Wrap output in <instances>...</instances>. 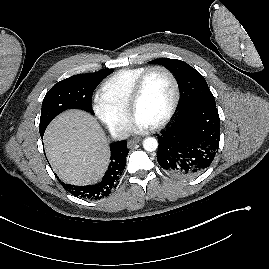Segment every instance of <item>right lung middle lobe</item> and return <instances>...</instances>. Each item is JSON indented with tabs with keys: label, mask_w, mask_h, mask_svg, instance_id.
<instances>
[{
	"label": "right lung middle lobe",
	"mask_w": 269,
	"mask_h": 269,
	"mask_svg": "<svg viewBox=\"0 0 269 269\" xmlns=\"http://www.w3.org/2000/svg\"><path fill=\"white\" fill-rule=\"evenodd\" d=\"M113 69L79 74L56 83L43 99L39 124L40 135L59 113L67 109H82L93 113L91 98L94 89Z\"/></svg>",
	"instance_id": "obj_1"
}]
</instances>
